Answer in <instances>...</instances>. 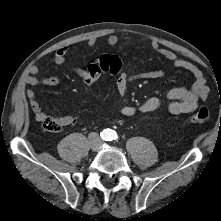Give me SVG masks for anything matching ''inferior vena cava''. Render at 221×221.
Returning <instances> with one entry per match:
<instances>
[{"mask_svg":"<svg viewBox=\"0 0 221 221\" xmlns=\"http://www.w3.org/2000/svg\"><path fill=\"white\" fill-rule=\"evenodd\" d=\"M95 140H96V141H99V138H98V137H96V138H95Z\"/></svg>","mask_w":221,"mask_h":221,"instance_id":"inferior-vena-cava-1","label":"inferior vena cava"}]
</instances>
